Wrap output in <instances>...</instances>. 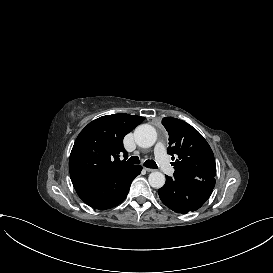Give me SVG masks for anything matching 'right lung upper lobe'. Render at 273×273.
<instances>
[{
  "instance_id": "right-lung-upper-lobe-1",
  "label": "right lung upper lobe",
  "mask_w": 273,
  "mask_h": 273,
  "mask_svg": "<svg viewBox=\"0 0 273 273\" xmlns=\"http://www.w3.org/2000/svg\"><path fill=\"white\" fill-rule=\"evenodd\" d=\"M145 118L125 113L90 122L78 135L70 154V177L79 197L91 207L107 201L114 183L135 168L120 161L127 154L123 138Z\"/></svg>"
}]
</instances>
